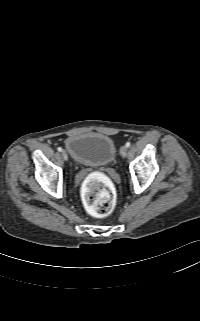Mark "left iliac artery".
Masks as SVG:
<instances>
[{
    "instance_id": "obj_1",
    "label": "left iliac artery",
    "mask_w": 200,
    "mask_h": 321,
    "mask_svg": "<svg viewBox=\"0 0 200 321\" xmlns=\"http://www.w3.org/2000/svg\"><path fill=\"white\" fill-rule=\"evenodd\" d=\"M125 146L128 148V147L131 146V143H130V142H127Z\"/></svg>"
}]
</instances>
